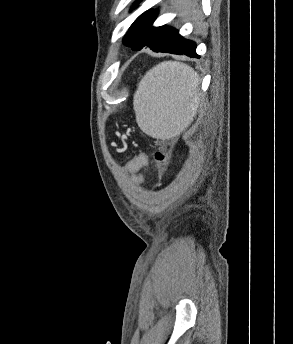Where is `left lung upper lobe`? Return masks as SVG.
Listing matches in <instances>:
<instances>
[{"label":"left lung upper lobe","instance_id":"left-lung-upper-lobe-1","mask_svg":"<svg viewBox=\"0 0 293 344\" xmlns=\"http://www.w3.org/2000/svg\"><path fill=\"white\" fill-rule=\"evenodd\" d=\"M157 13V10L150 9L141 14L125 35L124 43L132 47L134 51H138L144 46L160 45L170 41L177 33V30L166 25L152 27Z\"/></svg>","mask_w":293,"mask_h":344}]
</instances>
